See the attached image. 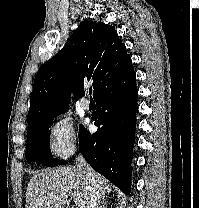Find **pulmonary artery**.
<instances>
[{
	"mask_svg": "<svg viewBox=\"0 0 199 208\" xmlns=\"http://www.w3.org/2000/svg\"><path fill=\"white\" fill-rule=\"evenodd\" d=\"M80 107L83 110H88L90 108V101L88 100L87 97L81 98V100H80Z\"/></svg>",
	"mask_w": 199,
	"mask_h": 208,
	"instance_id": "e3ab8cb5",
	"label": "pulmonary artery"
}]
</instances>
